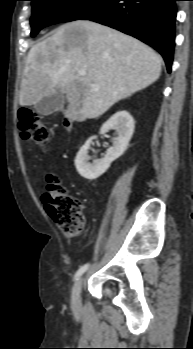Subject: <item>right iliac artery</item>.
<instances>
[{
    "label": "right iliac artery",
    "instance_id": "right-iliac-artery-1",
    "mask_svg": "<svg viewBox=\"0 0 193 349\" xmlns=\"http://www.w3.org/2000/svg\"><path fill=\"white\" fill-rule=\"evenodd\" d=\"M89 267V264H85L81 266L78 271L76 272L74 279H78Z\"/></svg>",
    "mask_w": 193,
    "mask_h": 349
}]
</instances>
